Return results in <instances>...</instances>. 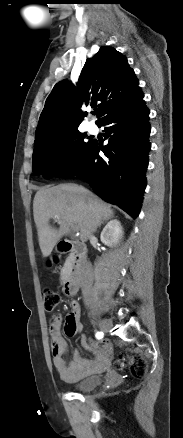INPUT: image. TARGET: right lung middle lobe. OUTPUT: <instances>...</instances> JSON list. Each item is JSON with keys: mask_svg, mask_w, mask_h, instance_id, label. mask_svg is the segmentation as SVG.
I'll return each instance as SVG.
<instances>
[{"mask_svg": "<svg viewBox=\"0 0 183 438\" xmlns=\"http://www.w3.org/2000/svg\"><path fill=\"white\" fill-rule=\"evenodd\" d=\"M78 129L48 135L35 140L32 157L33 173L54 177L70 165L91 144Z\"/></svg>", "mask_w": 183, "mask_h": 438, "instance_id": "1", "label": "right lung middle lobe"}]
</instances>
